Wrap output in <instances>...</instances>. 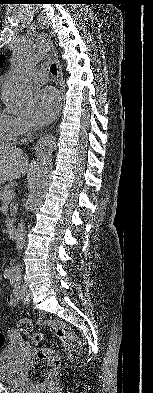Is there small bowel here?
<instances>
[{
	"instance_id": "small-bowel-1",
	"label": "small bowel",
	"mask_w": 153,
	"mask_h": 393,
	"mask_svg": "<svg viewBox=\"0 0 153 393\" xmlns=\"http://www.w3.org/2000/svg\"><path fill=\"white\" fill-rule=\"evenodd\" d=\"M6 300L10 307L17 306V299L14 296L9 295L7 296ZM0 313H1V308H0Z\"/></svg>"
}]
</instances>
